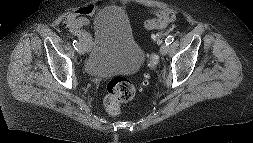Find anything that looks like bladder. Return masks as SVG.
Returning <instances> with one entry per match:
<instances>
[{"mask_svg":"<svg viewBox=\"0 0 253 143\" xmlns=\"http://www.w3.org/2000/svg\"><path fill=\"white\" fill-rule=\"evenodd\" d=\"M144 60V50L135 39L125 10L108 6L94 18V38L85 60V71L96 77L130 73Z\"/></svg>","mask_w":253,"mask_h":143,"instance_id":"bladder-1","label":"bladder"}]
</instances>
